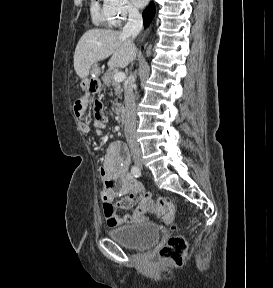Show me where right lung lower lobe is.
<instances>
[{"mask_svg": "<svg viewBox=\"0 0 273 288\" xmlns=\"http://www.w3.org/2000/svg\"><path fill=\"white\" fill-rule=\"evenodd\" d=\"M154 5L150 3V5L143 11V20H144V25H147L152 17L154 16Z\"/></svg>", "mask_w": 273, "mask_h": 288, "instance_id": "98d812e1", "label": "right lung lower lobe"}]
</instances>
